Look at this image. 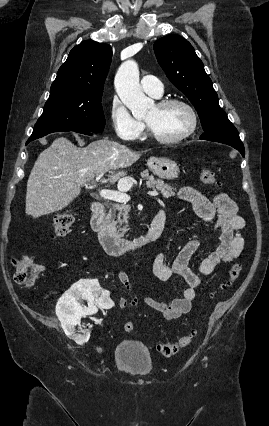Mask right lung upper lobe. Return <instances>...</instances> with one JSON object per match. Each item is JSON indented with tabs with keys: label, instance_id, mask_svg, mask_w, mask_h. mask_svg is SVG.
I'll list each match as a JSON object with an SVG mask.
<instances>
[{
	"label": "right lung upper lobe",
	"instance_id": "cb5924a9",
	"mask_svg": "<svg viewBox=\"0 0 269 426\" xmlns=\"http://www.w3.org/2000/svg\"><path fill=\"white\" fill-rule=\"evenodd\" d=\"M111 58L110 45L83 41L70 51L66 62L59 68L50 93L102 95Z\"/></svg>",
	"mask_w": 269,
	"mask_h": 426
}]
</instances>
